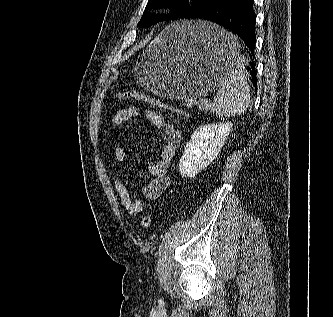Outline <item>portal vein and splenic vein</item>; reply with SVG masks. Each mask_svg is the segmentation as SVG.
<instances>
[{
    "label": "portal vein and splenic vein",
    "instance_id": "portal-vein-and-splenic-vein-1",
    "mask_svg": "<svg viewBox=\"0 0 333 317\" xmlns=\"http://www.w3.org/2000/svg\"><path fill=\"white\" fill-rule=\"evenodd\" d=\"M201 104H203V105H207V104H208V101H207V100H202V101H201ZM187 106L191 107V106H192V103H191V102H188V103H187Z\"/></svg>",
    "mask_w": 333,
    "mask_h": 317
}]
</instances>
